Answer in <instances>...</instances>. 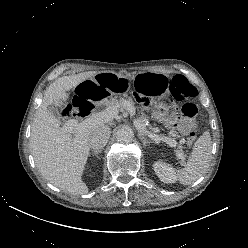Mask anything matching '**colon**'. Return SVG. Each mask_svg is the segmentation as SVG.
<instances>
[{"label":"colon","mask_w":248,"mask_h":248,"mask_svg":"<svg viewBox=\"0 0 248 248\" xmlns=\"http://www.w3.org/2000/svg\"><path fill=\"white\" fill-rule=\"evenodd\" d=\"M169 89L173 98L177 101H184L181 106L180 112L184 120L180 121V123H191L194 126L193 119L197 115V107L196 105L189 101L193 97L197 95L196 88L189 83V81L182 75H176L173 77L169 84ZM137 98L142 101L145 98V94L141 91L136 92ZM79 103L67 104L64 106L62 110V115L64 118H71L73 116L79 115L76 111V106ZM187 143L192 145L196 140V133L193 130V127L187 130Z\"/></svg>","instance_id":"5ec220e1"}]
</instances>
